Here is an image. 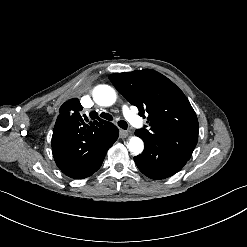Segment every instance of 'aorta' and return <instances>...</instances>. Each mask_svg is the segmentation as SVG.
Here are the masks:
<instances>
[{
    "mask_svg": "<svg viewBox=\"0 0 247 247\" xmlns=\"http://www.w3.org/2000/svg\"><path fill=\"white\" fill-rule=\"evenodd\" d=\"M92 95L95 103L100 106L113 105L117 97L115 90L109 85H99L95 87ZM127 148L133 154L138 155L142 153L144 149V143L139 137L133 136L129 139Z\"/></svg>",
    "mask_w": 247,
    "mask_h": 247,
    "instance_id": "762f6f07",
    "label": "aorta"
}]
</instances>
